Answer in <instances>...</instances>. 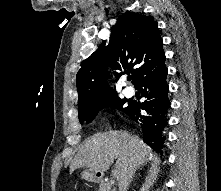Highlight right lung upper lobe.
<instances>
[{
  "label": "right lung upper lobe",
  "mask_w": 221,
  "mask_h": 191,
  "mask_svg": "<svg viewBox=\"0 0 221 191\" xmlns=\"http://www.w3.org/2000/svg\"><path fill=\"white\" fill-rule=\"evenodd\" d=\"M162 44L153 17L129 12L120 16L112 28L109 45L101 44L81 63L76 76L79 113L117 96L107 84L108 66L121 71L115 73L117 79L130 71L135 84L164 54Z\"/></svg>",
  "instance_id": "1"
}]
</instances>
